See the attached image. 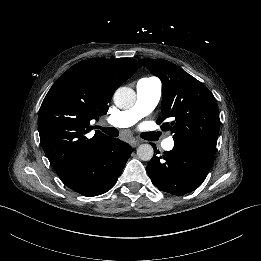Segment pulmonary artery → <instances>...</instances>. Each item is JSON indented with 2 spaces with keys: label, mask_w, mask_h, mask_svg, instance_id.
Wrapping results in <instances>:
<instances>
[{
  "label": "pulmonary artery",
  "mask_w": 261,
  "mask_h": 261,
  "mask_svg": "<svg viewBox=\"0 0 261 261\" xmlns=\"http://www.w3.org/2000/svg\"><path fill=\"white\" fill-rule=\"evenodd\" d=\"M137 99L135 105L127 110L109 116L107 122L115 127H129L140 118L150 114L158 105L162 95V84L156 79H140L136 85ZM161 145L164 149L170 150L175 142L172 138L166 137Z\"/></svg>",
  "instance_id": "e3ab8cb5"
}]
</instances>
